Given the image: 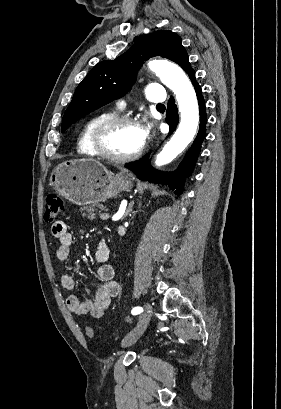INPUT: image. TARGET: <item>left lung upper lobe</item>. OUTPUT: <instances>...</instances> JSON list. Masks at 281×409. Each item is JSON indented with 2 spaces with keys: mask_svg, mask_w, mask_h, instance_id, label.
I'll return each mask as SVG.
<instances>
[{
  "mask_svg": "<svg viewBox=\"0 0 281 409\" xmlns=\"http://www.w3.org/2000/svg\"><path fill=\"white\" fill-rule=\"evenodd\" d=\"M153 56L174 61L187 74L193 70L181 39L174 32L162 30L144 36L115 60H106L93 67L76 88L63 116L61 131L64 132L81 117L128 92L140 66Z\"/></svg>",
  "mask_w": 281,
  "mask_h": 409,
  "instance_id": "obj_1",
  "label": "left lung upper lobe"
}]
</instances>
